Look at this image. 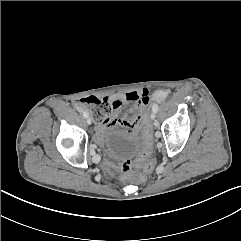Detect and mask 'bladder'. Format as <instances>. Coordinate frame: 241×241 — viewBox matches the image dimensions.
Listing matches in <instances>:
<instances>
[{
  "label": "bladder",
  "instance_id": "obj_1",
  "mask_svg": "<svg viewBox=\"0 0 241 241\" xmlns=\"http://www.w3.org/2000/svg\"><path fill=\"white\" fill-rule=\"evenodd\" d=\"M140 143L139 135L121 129L114 130L109 138L110 149L117 157L134 155L139 150Z\"/></svg>",
  "mask_w": 241,
  "mask_h": 241
}]
</instances>
